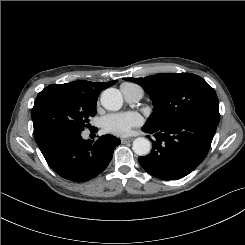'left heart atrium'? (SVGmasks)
I'll return each instance as SVG.
<instances>
[{
    "mask_svg": "<svg viewBox=\"0 0 245 245\" xmlns=\"http://www.w3.org/2000/svg\"><path fill=\"white\" fill-rule=\"evenodd\" d=\"M141 122L142 118L137 113L122 112L106 115L103 117L101 125L105 132L116 136H126L133 127L140 125Z\"/></svg>",
    "mask_w": 245,
    "mask_h": 245,
    "instance_id": "39dd6f15",
    "label": "left heart atrium"
}]
</instances>
